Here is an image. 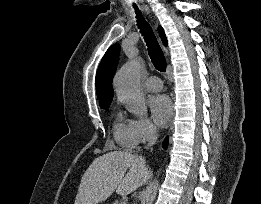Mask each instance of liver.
I'll return each mask as SVG.
<instances>
[{
	"mask_svg": "<svg viewBox=\"0 0 261 204\" xmlns=\"http://www.w3.org/2000/svg\"><path fill=\"white\" fill-rule=\"evenodd\" d=\"M149 176L150 171L140 156L127 151L106 153L97 157L83 174L75 204H98L115 190L120 195H128Z\"/></svg>",
	"mask_w": 261,
	"mask_h": 204,
	"instance_id": "1",
	"label": "liver"
}]
</instances>
